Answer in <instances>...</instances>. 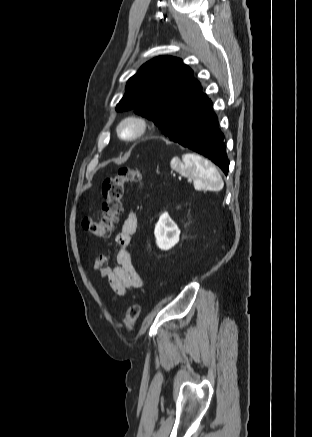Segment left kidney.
Wrapping results in <instances>:
<instances>
[{
  "label": "left kidney",
  "mask_w": 312,
  "mask_h": 437,
  "mask_svg": "<svg viewBox=\"0 0 312 437\" xmlns=\"http://www.w3.org/2000/svg\"><path fill=\"white\" fill-rule=\"evenodd\" d=\"M157 246L169 250L179 242L180 230L177 224L165 212L159 218L154 230Z\"/></svg>",
  "instance_id": "5707ae66"
}]
</instances>
